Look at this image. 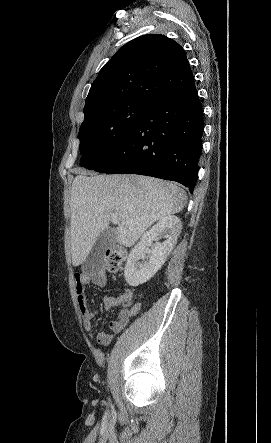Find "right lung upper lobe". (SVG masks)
<instances>
[{
    "label": "right lung upper lobe",
    "mask_w": 271,
    "mask_h": 443,
    "mask_svg": "<svg viewBox=\"0 0 271 443\" xmlns=\"http://www.w3.org/2000/svg\"><path fill=\"white\" fill-rule=\"evenodd\" d=\"M192 84L183 48L164 35H143L122 46L102 67L86 98L84 120L103 105L131 99L151 103Z\"/></svg>",
    "instance_id": "cb5924a9"
}]
</instances>
